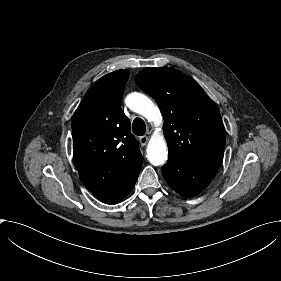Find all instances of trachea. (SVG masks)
I'll return each instance as SVG.
<instances>
[{
	"mask_svg": "<svg viewBox=\"0 0 281 281\" xmlns=\"http://www.w3.org/2000/svg\"><path fill=\"white\" fill-rule=\"evenodd\" d=\"M133 133L142 136L146 132V125L141 118H135L132 124Z\"/></svg>",
	"mask_w": 281,
	"mask_h": 281,
	"instance_id": "trachea-1",
	"label": "trachea"
}]
</instances>
